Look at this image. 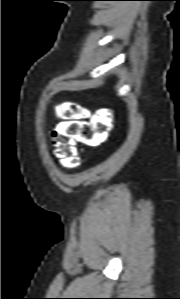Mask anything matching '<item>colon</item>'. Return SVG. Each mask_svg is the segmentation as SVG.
<instances>
[{
  "label": "colon",
  "mask_w": 180,
  "mask_h": 299,
  "mask_svg": "<svg viewBox=\"0 0 180 299\" xmlns=\"http://www.w3.org/2000/svg\"><path fill=\"white\" fill-rule=\"evenodd\" d=\"M63 115L66 120L53 131L52 150L60 164L76 167L80 162L76 142L89 145L103 143L112 129L113 121L102 113L92 119L87 109L74 103L66 104Z\"/></svg>",
  "instance_id": "1"
}]
</instances>
